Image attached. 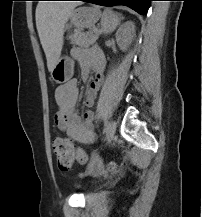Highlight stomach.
I'll return each instance as SVG.
<instances>
[{"mask_svg":"<svg viewBox=\"0 0 202 217\" xmlns=\"http://www.w3.org/2000/svg\"><path fill=\"white\" fill-rule=\"evenodd\" d=\"M101 14L95 7H79L70 16V25L78 29L91 28L99 20ZM52 79L59 84L69 81L73 76V62L68 57H61L55 64Z\"/></svg>","mask_w":202,"mask_h":217,"instance_id":"stomach-1","label":"stomach"}]
</instances>
